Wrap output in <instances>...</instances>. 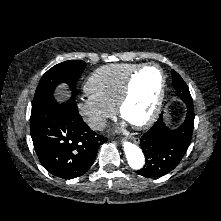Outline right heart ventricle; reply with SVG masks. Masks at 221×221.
Masks as SVG:
<instances>
[{"label":"right heart ventricle","instance_id":"obj_1","mask_svg":"<svg viewBox=\"0 0 221 221\" xmlns=\"http://www.w3.org/2000/svg\"><path fill=\"white\" fill-rule=\"evenodd\" d=\"M139 64H113L94 71L84 85L87 96L111 108L116 107L128 76Z\"/></svg>","mask_w":221,"mask_h":221}]
</instances>
